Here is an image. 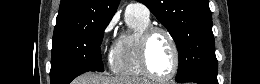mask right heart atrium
<instances>
[{
	"label": "right heart atrium",
	"mask_w": 260,
	"mask_h": 84,
	"mask_svg": "<svg viewBox=\"0 0 260 84\" xmlns=\"http://www.w3.org/2000/svg\"><path fill=\"white\" fill-rule=\"evenodd\" d=\"M116 24L115 19L110 20L103 29L102 46L105 45L108 36L111 34Z\"/></svg>",
	"instance_id": "right-heart-atrium-1"
}]
</instances>
